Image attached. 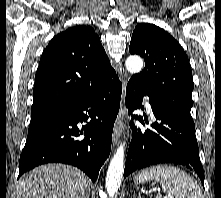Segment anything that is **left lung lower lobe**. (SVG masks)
Masks as SVG:
<instances>
[{"label":"left lung lower lobe","mask_w":221,"mask_h":198,"mask_svg":"<svg viewBox=\"0 0 221 198\" xmlns=\"http://www.w3.org/2000/svg\"><path fill=\"white\" fill-rule=\"evenodd\" d=\"M144 95L149 96L146 90L128 82L126 106L129 113L141 107ZM149 103L157 121L151 124L152 129L135 127L127 154L124 177L150 165L176 163L196 172L204 186V172L199 158L195 124L175 116L152 97ZM135 118L144 124L142 117Z\"/></svg>","instance_id":"obj_1"}]
</instances>
